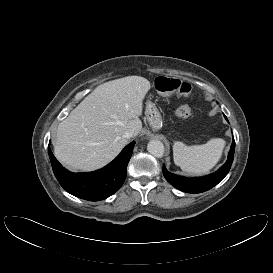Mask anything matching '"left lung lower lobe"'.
Returning <instances> with one entry per match:
<instances>
[{"label":"left lung lower lobe","mask_w":273,"mask_h":273,"mask_svg":"<svg viewBox=\"0 0 273 273\" xmlns=\"http://www.w3.org/2000/svg\"><path fill=\"white\" fill-rule=\"evenodd\" d=\"M226 118V116L224 115ZM227 119V118H226ZM235 141L233 140L226 163L216 172L204 177L185 178L167 171L163 165L166 180L175 188L187 193L205 192L217 185L229 172L234 158Z\"/></svg>","instance_id":"0a47b994"}]
</instances>
